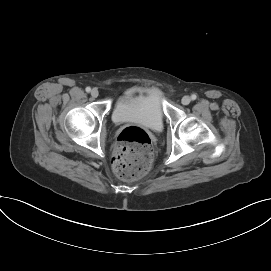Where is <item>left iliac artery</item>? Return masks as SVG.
Instances as JSON below:
<instances>
[{
    "instance_id": "obj_1",
    "label": "left iliac artery",
    "mask_w": 271,
    "mask_h": 271,
    "mask_svg": "<svg viewBox=\"0 0 271 271\" xmlns=\"http://www.w3.org/2000/svg\"><path fill=\"white\" fill-rule=\"evenodd\" d=\"M196 98H197V96H196L195 94H192V95H191V99H192V100H196Z\"/></svg>"
}]
</instances>
